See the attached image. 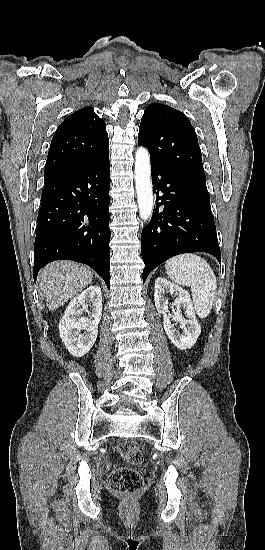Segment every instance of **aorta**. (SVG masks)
Masks as SVG:
<instances>
[{"label": "aorta", "mask_w": 265, "mask_h": 550, "mask_svg": "<svg viewBox=\"0 0 265 550\" xmlns=\"http://www.w3.org/2000/svg\"><path fill=\"white\" fill-rule=\"evenodd\" d=\"M150 156L144 147H140L135 156V183L138 198L139 215L148 220L153 212V191L151 184Z\"/></svg>", "instance_id": "aorta-1"}]
</instances>
